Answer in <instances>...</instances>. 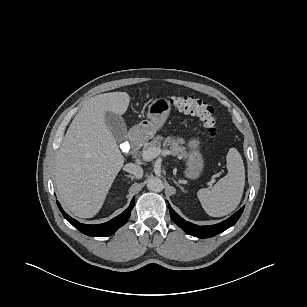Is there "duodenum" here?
<instances>
[{
	"label": "duodenum",
	"mask_w": 307,
	"mask_h": 307,
	"mask_svg": "<svg viewBox=\"0 0 307 307\" xmlns=\"http://www.w3.org/2000/svg\"><path fill=\"white\" fill-rule=\"evenodd\" d=\"M130 138H131L130 142H131V144H132V151H133V153H135L136 150H137V149L140 147V145H141V139H140V137H139L137 134H135V133H132L131 136H130Z\"/></svg>",
	"instance_id": "duodenum-1"
}]
</instances>
